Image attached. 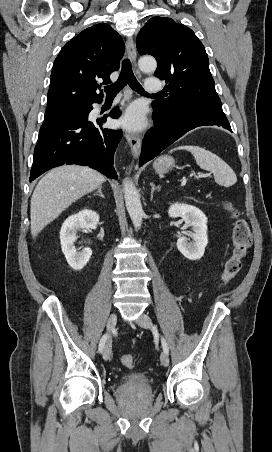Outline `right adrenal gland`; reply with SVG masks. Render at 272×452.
<instances>
[{"label": "right adrenal gland", "mask_w": 272, "mask_h": 452, "mask_svg": "<svg viewBox=\"0 0 272 452\" xmlns=\"http://www.w3.org/2000/svg\"><path fill=\"white\" fill-rule=\"evenodd\" d=\"M94 195H99L102 198H105L104 194L102 193V186H100Z\"/></svg>", "instance_id": "1"}]
</instances>
